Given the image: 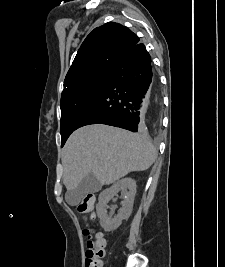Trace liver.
I'll return each instance as SVG.
<instances>
[{
	"label": "liver",
	"mask_w": 225,
	"mask_h": 267,
	"mask_svg": "<svg viewBox=\"0 0 225 267\" xmlns=\"http://www.w3.org/2000/svg\"><path fill=\"white\" fill-rule=\"evenodd\" d=\"M157 152L145 134H135L103 124H91L74 131L62 150L64 184L76 188L92 173L102 185H109L132 171H145Z\"/></svg>",
	"instance_id": "1"
}]
</instances>
